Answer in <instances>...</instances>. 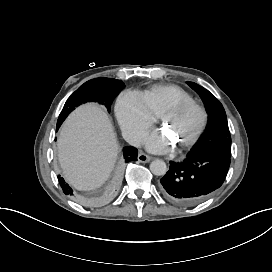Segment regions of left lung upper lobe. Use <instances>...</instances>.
<instances>
[{
	"label": "left lung upper lobe",
	"instance_id": "obj_1",
	"mask_svg": "<svg viewBox=\"0 0 272 272\" xmlns=\"http://www.w3.org/2000/svg\"><path fill=\"white\" fill-rule=\"evenodd\" d=\"M203 100L209 122L206 131L191 150V154L218 153L231 156V136L228 128L225 110L220 101L202 86L188 82Z\"/></svg>",
	"mask_w": 272,
	"mask_h": 272
}]
</instances>
